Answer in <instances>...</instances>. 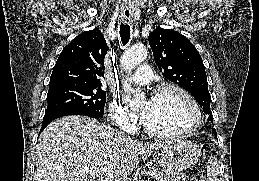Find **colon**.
<instances>
[{
  "instance_id": "1",
  "label": "colon",
  "mask_w": 259,
  "mask_h": 181,
  "mask_svg": "<svg viewBox=\"0 0 259 181\" xmlns=\"http://www.w3.org/2000/svg\"><path fill=\"white\" fill-rule=\"evenodd\" d=\"M193 181H204L202 175L200 174H195L193 177Z\"/></svg>"
}]
</instances>
